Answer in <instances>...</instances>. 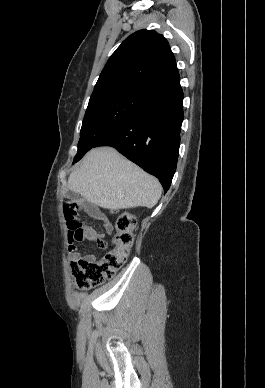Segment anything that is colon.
<instances>
[{"label":"colon","mask_w":265,"mask_h":388,"mask_svg":"<svg viewBox=\"0 0 265 388\" xmlns=\"http://www.w3.org/2000/svg\"><path fill=\"white\" fill-rule=\"evenodd\" d=\"M78 205L68 201L63 205L64 216L68 227L69 250L72 251L74 242L87 239L88 229L77 218ZM136 220L128 212H118L115 222L113 247L98 261L75 258L70 262L71 274L77 288L87 290L101 286L112 278L126 261L133 243Z\"/></svg>","instance_id":"colon-1"}]
</instances>
